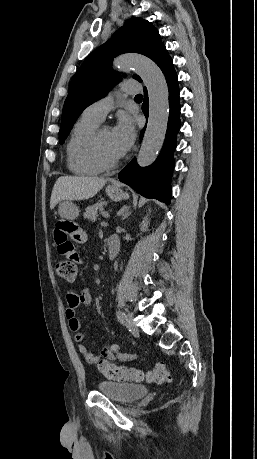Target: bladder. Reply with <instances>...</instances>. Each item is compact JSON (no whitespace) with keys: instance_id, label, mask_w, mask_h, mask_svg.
I'll return each mask as SVG.
<instances>
[{"instance_id":"1","label":"bladder","mask_w":257,"mask_h":459,"mask_svg":"<svg viewBox=\"0 0 257 459\" xmlns=\"http://www.w3.org/2000/svg\"><path fill=\"white\" fill-rule=\"evenodd\" d=\"M97 390L119 403H132L148 393L144 385L114 381H100Z\"/></svg>"}]
</instances>
